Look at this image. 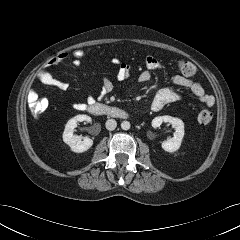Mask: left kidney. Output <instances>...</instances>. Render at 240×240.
Listing matches in <instances>:
<instances>
[{
  "label": "left kidney",
  "instance_id": "obj_1",
  "mask_svg": "<svg viewBox=\"0 0 240 240\" xmlns=\"http://www.w3.org/2000/svg\"><path fill=\"white\" fill-rule=\"evenodd\" d=\"M163 122L170 123L172 127L175 129V132L173 138L168 139L167 141H164L162 143V148L170 153L176 152L180 148L182 139L184 137V123L179 118L165 115L155 117L152 120V127L154 128L160 127V125Z\"/></svg>",
  "mask_w": 240,
  "mask_h": 240
}]
</instances>
